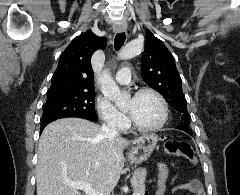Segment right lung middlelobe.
Here are the masks:
<instances>
[{
	"label": "right lung middle lobe",
	"instance_id": "1",
	"mask_svg": "<svg viewBox=\"0 0 240 195\" xmlns=\"http://www.w3.org/2000/svg\"><path fill=\"white\" fill-rule=\"evenodd\" d=\"M95 92L71 91L48 95L42 124L60 118L80 115L97 117L95 112Z\"/></svg>",
	"mask_w": 240,
	"mask_h": 195
}]
</instances>
